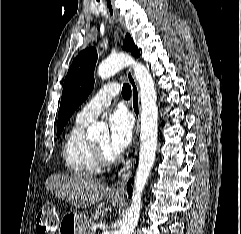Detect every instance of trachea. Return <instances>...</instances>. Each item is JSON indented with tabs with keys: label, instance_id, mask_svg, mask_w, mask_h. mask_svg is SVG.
Masks as SVG:
<instances>
[{
	"label": "trachea",
	"instance_id": "trachea-1",
	"mask_svg": "<svg viewBox=\"0 0 241 234\" xmlns=\"http://www.w3.org/2000/svg\"><path fill=\"white\" fill-rule=\"evenodd\" d=\"M122 95L126 99L130 98V96H131V87L129 86V84H123Z\"/></svg>",
	"mask_w": 241,
	"mask_h": 234
}]
</instances>
